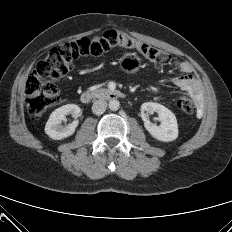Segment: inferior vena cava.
Listing matches in <instances>:
<instances>
[{"label": "inferior vena cava", "instance_id": "obj_1", "mask_svg": "<svg viewBox=\"0 0 232 232\" xmlns=\"http://www.w3.org/2000/svg\"><path fill=\"white\" fill-rule=\"evenodd\" d=\"M107 103L104 100H96L92 105V112L96 115H101L105 112Z\"/></svg>", "mask_w": 232, "mask_h": 232}]
</instances>
